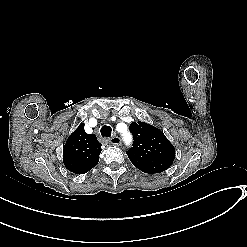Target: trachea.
Listing matches in <instances>:
<instances>
[{"label":"trachea","instance_id":"trachea-1","mask_svg":"<svg viewBox=\"0 0 247 247\" xmlns=\"http://www.w3.org/2000/svg\"><path fill=\"white\" fill-rule=\"evenodd\" d=\"M100 133L103 137H110L111 133H112V129L110 126H102V128L100 129Z\"/></svg>","mask_w":247,"mask_h":247}]
</instances>
